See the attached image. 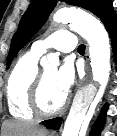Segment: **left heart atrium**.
Segmentation results:
<instances>
[{"mask_svg":"<svg viewBox=\"0 0 117 136\" xmlns=\"http://www.w3.org/2000/svg\"><path fill=\"white\" fill-rule=\"evenodd\" d=\"M76 81V71L73 62L65 60L56 71L55 82L58 89L67 95Z\"/></svg>","mask_w":117,"mask_h":136,"instance_id":"left-heart-atrium-1","label":"left heart atrium"}]
</instances>
